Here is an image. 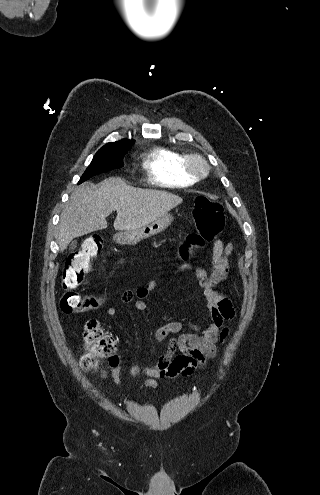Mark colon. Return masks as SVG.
<instances>
[{
  "label": "colon",
  "instance_id": "1",
  "mask_svg": "<svg viewBox=\"0 0 320 495\" xmlns=\"http://www.w3.org/2000/svg\"><path fill=\"white\" fill-rule=\"evenodd\" d=\"M193 216L197 232L189 233L183 239L180 255L184 261L189 260L193 253L212 241L224 228L223 206L218 200L205 196L197 197ZM102 249L103 237L99 234H91L78 250L69 255L61 278L65 290L59 302L62 311L80 312L98 305L94 297L83 296L75 289L91 270L93 260L101 254ZM83 340L85 353L81 356L80 363L84 369H98L101 361L107 358L111 364L117 361L116 341L113 336L104 332L98 321L93 319L85 324Z\"/></svg>",
  "mask_w": 320,
  "mask_h": 495
}]
</instances>
